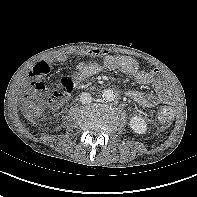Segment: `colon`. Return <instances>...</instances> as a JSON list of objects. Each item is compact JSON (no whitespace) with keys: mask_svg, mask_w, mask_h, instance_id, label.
Here are the masks:
<instances>
[{"mask_svg":"<svg viewBox=\"0 0 197 197\" xmlns=\"http://www.w3.org/2000/svg\"><path fill=\"white\" fill-rule=\"evenodd\" d=\"M74 81L70 78L62 79L59 88L52 94L49 101L52 105H59L63 102L65 96L72 92ZM46 86L43 82H36L30 92H28L23 101L22 107L26 115L35 119L42 111ZM174 117V110L170 106H162L158 111V118L163 123L170 122Z\"/></svg>","mask_w":197,"mask_h":197,"instance_id":"colon-1","label":"colon"}]
</instances>
